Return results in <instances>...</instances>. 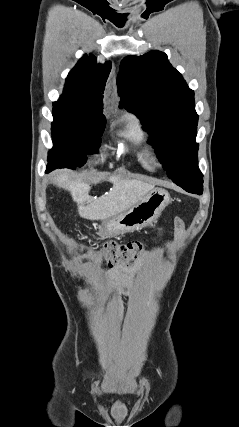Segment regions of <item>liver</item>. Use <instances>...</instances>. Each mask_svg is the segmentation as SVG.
Here are the masks:
<instances>
[{"label":"liver","instance_id":"liver-1","mask_svg":"<svg viewBox=\"0 0 239 427\" xmlns=\"http://www.w3.org/2000/svg\"><path fill=\"white\" fill-rule=\"evenodd\" d=\"M113 187L105 195L94 198L89 195L90 184L70 180L66 172L55 179V184L71 193L78 204L79 215L88 220H106L131 208L154 189V185L137 180L112 176Z\"/></svg>","mask_w":239,"mask_h":427}]
</instances>
